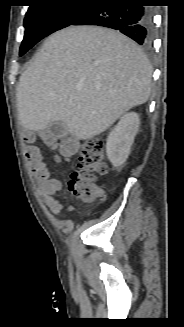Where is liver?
Returning a JSON list of instances; mask_svg holds the SVG:
<instances>
[{
	"instance_id": "1",
	"label": "liver",
	"mask_w": 184,
	"mask_h": 327,
	"mask_svg": "<svg viewBox=\"0 0 184 327\" xmlns=\"http://www.w3.org/2000/svg\"><path fill=\"white\" fill-rule=\"evenodd\" d=\"M151 76L142 50L120 32L68 27L44 42L20 76V122L31 131L62 122L77 140L90 139L149 99Z\"/></svg>"
}]
</instances>
